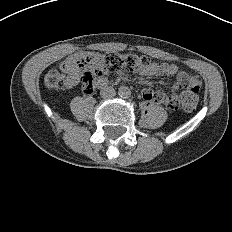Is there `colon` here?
Segmentation results:
<instances>
[{
    "label": "colon",
    "instance_id": "1",
    "mask_svg": "<svg viewBox=\"0 0 232 232\" xmlns=\"http://www.w3.org/2000/svg\"><path fill=\"white\" fill-rule=\"evenodd\" d=\"M75 63L84 70L81 80L85 93L92 91L96 77L118 72L123 68L141 71L152 64L148 57L120 53L90 54L75 59ZM63 71V64L61 68H50L44 78L45 86L49 89H62L66 83ZM198 93L199 88L191 87L186 79H181L173 86L171 95L158 93L155 102L169 109H177L181 105L185 110L192 111L197 105Z\"/></svg>",
    "mask_w": 232,
    "mask_h": 232
}]
</instances>
